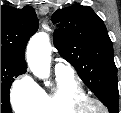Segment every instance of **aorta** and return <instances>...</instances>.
Here are the masks:
<instances>
[{"instance_id": "aorta-1", "label": "aorta", "mask_w": 121, "mask_h": 113, "mask_svg": "<svg viewBox=\"0 0 121 113\" xmlns=\"http://www.w3.org/2000/svg\"><path fill=\"white\" fill-rule=\"evenodd\" d=\"M51 45L45 32L36 33L27 46V63L31 72L38 78L46 79L50 75Z\"/></svg>"}]
</instances>
